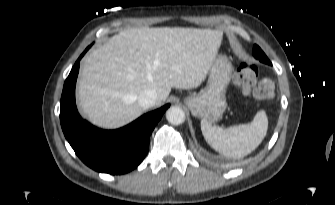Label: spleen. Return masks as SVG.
<instances>
[{"instance_id": "obj_1", "label": "spleen", "mask_w": 335, "mask_h": 205, "mask_svg": "<svg viewBox=\"0 0 335 205\" xmlns=\"http://www.w3.org/2000/svg\"><path fill=\"white\" fill-rule=\"evenodd\" d=\"M201 130L206 142L229 158H242L254 151L263 141L268 130V118L264 110L256 113L248 124L223 129L201 120Z\"/></svg>"}]
</instances>
